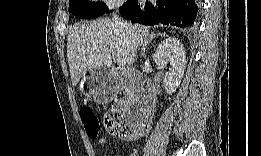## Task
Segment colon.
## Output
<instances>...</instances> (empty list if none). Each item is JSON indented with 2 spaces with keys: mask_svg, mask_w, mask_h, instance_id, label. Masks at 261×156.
Returning <instances> with one entry per match:
<instances>
[{
  "mask_svg": "<svg viewBox=\"0 0 261 156\" xmlns=\"http://www.w3.org/2000/svg\"><path fill=\"white\" fill-rule=\"evenodd\" d=\"M80 118L84 124L88 137L95 140L100 132V124L90 108H84L80 112ZM104 126L107 131L120 138H136L142 136L146 131V124H129L123 113L117 110H110L104 118Z\"/></svg>",
  "mask_w": 261,
  "mask_h": 156,
  "instance_id": "colon-1",
  "label": "colon"
}]
</instances>
